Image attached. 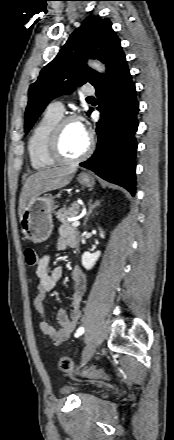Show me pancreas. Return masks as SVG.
Masks as SVG:
<instances>
[{
    "instance_id": "cf45deb5",
    "label": "pancreas",
    "mask_w": 174,
    "mask_h": 440,
    "mask_svg": "<svg viewBox=\"0 0 174 440\" xmlns=\"http://www.w3.org/2000/svg\"><path fill=\"white\" fill-rule=\"evenodd\" d=\"M79 213V205L77 203H73L68 208L63 207L59 209L55 215L57 219L63 223V224H71L70 221H68L69 217H76Z\"/></svg>"
}]
</instances>
